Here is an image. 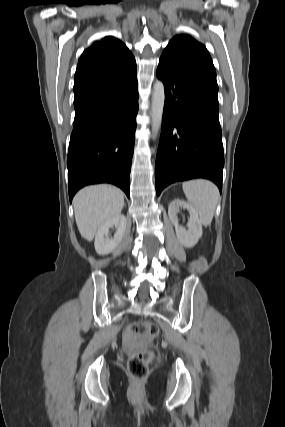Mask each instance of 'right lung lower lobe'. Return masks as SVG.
I'll return each instance as SVG.
<instances>
[{
  "instance_id": "98d812e1",
  "label": "right lung lower lobe",
  "mask_w": 285,
  "mask_h": 427,
  "mask_svg": "<svg viewBox=\"0 0 285 427\" xmlns=\"http://www.w3.org/2000/svg\"><path fill=\"white\" fill-rule=\"evenodd\" d=\"M136 73L74 101L67 157L69 198L85 185L111 183L129 197L138 112Z\"/></svg>"
}]
</instances>
